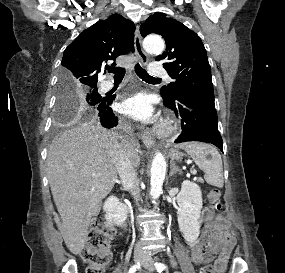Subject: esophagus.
Here are the masks:
<instances>
[{
    "mask_svg": "<svg viewBox=\"0 0 285 273\" xmlns=\"http://www.w3.org/2000/svg\"><path fill=\"white\" fill-rule=\"evenodd\" d=\"M134 45H135L136 54L139 57L140 61L142 62L143 65H147L149 58L143 49L142 38L138 27H136L135 30ZM141 139L147 148L154 146V140L147 132H143L141 134Z\"/></svg>",
    "mask_w": 285,
    "mask_h": 273,
    "instance_id": "1",
    "label": "esophagus"
}]
</instances>
